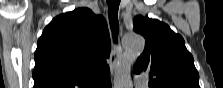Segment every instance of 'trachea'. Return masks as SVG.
Segmentation results:
<instances>
[{
	"instance_id": "3493384b",
	"label": "trachea",
	"mask_w": 223,
	"mask_h": 88,
	"mask_svg": "<svg viewBox=\"0 0 223 88\" xmlns=\"http://www.w3.org/2000/svg\"><path fill=\"white\" fill-rule=\"evenodd\" d=\"M108 3V16L109 23L112 30V36L115 43H117L118 38V9L120 0H107Z\"/></svg>"
}]
</instances>
